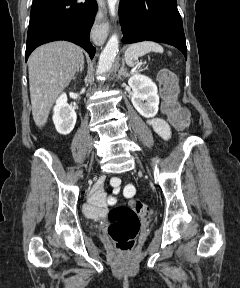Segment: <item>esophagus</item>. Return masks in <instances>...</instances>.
<instances>
[{
	"label": "esophagus",
	"instance_id": "34e87169",
	"mask_svg": "<svg viewBox=\"0 0 240 288\" xmlns=\"http://www.w3.org/2000/svg\"><path fill=\"white\" fill-rule=\"evenodd\" d=\"M99 6L98 19L101 22L104 31V39L107 37L108 22H107V9L105 0H97Z\"/></svg>",
	"mask_w": 240,
	"mask_h": 288
}]
</instances>
